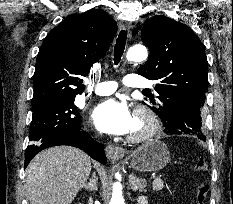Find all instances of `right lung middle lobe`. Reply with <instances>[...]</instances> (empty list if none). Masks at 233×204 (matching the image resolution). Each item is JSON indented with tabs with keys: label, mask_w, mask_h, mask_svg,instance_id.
I'll list each match as a JSON object with an SVG mask.
<instances>
[{
	"label": "right lung middle lobe",
	"mask_w": 233,
	"mask_h": 204,
	"mask_svg": "<svg viewBox=\"0 0 233 204\" xmlns=\"http://www.w3.org/2000/svg\"><path fill=\"white\" fill-rule=\"evenodd\" d=\"M75 98L56 99L33 105L30 127V145L26 150H35L50 137L81 129L80 114L74 105Z\"/></svg>",
	"instance_id": "dd1d6c3e"
}]
</instances>
